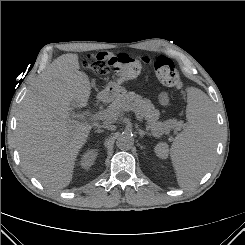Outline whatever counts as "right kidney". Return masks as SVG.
Masks as SVG:
<instances>
[{
    "label": "right kidney",
    "instance_id": "1",
    "mask_svg": "<svg viewBox=\"0 0 245 245\" xmlns=\"http://www.w3.org/2000/svg\"><path fill=\"white\" fill-rule=\"evenodd\" d=\"M97 150L91 149L86 151L80 160V165L82 168L84 169H88L89 167H91L97 157Z\"/></svg>",
    "mask_w": 245,
    "mask_h": 245
}]
</instances>
